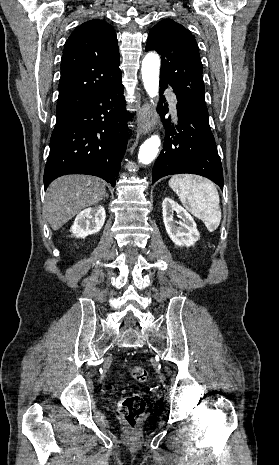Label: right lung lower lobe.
Segmentation results:
<instances>
[{
    "mask_svg": "<svg viewBox=\"0 0 279 465\" xmlns=\"http://www.w3.org/2000/svg\"><path fill=\"white\" fill-rule=\"evenodd\" d=\"M121 79L56 125L44 171L45 189L67 174H88L115 186L128 140Z\"/></svg>",
    "mask_w": 279,
    "mask_h": 465,
    "instance_id": "right-lung-lower-lobe-1",
    "label": "right lung lower lobe"
}]
</instances>
